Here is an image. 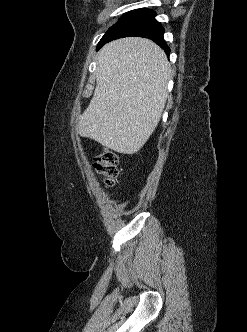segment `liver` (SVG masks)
Segmentation results:
<instances>
[{
  "mask_svg": "<svg viewBox=\"0 0 247 332\" xmlns=\"http://www.w3.org/2000/svg\"><path fill=\"white\" fill-rule=\"evenodd\" d=\"M170 77L166 54L153 41L129 37L106 44L77 133L121 154L138 152L160 121Z\"/></svg>",
  "mask_w": 247,
  "mask_h": 332,
  "instance_id": "1",
  "label": "liver"
}]
</instances>
